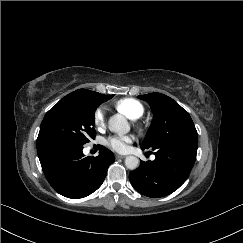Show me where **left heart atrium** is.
I'll list each match as a JSON object with an SVG mask.
<instances>
[{"instance_id":"left-heart-atrium-1","label":"left heart atrium","mask_w":243,"mask_h":243,"mask_svg":"<svg viewBox=\"0 0 243 243\" xmlns=\"http://www.w3.org/2000/svg\"><path fill=\"white\" fill-rule=\"evenodd\" d=\"M133 142L132 137L130 136H110L106 140V145L117 152H125L128 150L129 145Z\"/></svg>"}]
</instances>
